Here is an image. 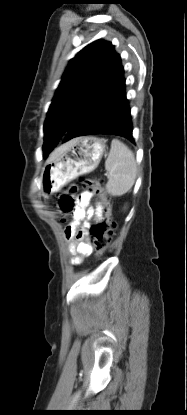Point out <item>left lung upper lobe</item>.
<instances>
[{
  "mask_svg": "<svg viewBox=\"0 0 187 415\" xmlns=\"http://www.w3.org/2000/svg\"><path fill=\"white\" fill-rule=\"evenodd\" d=\"M114 52L107 41L97 40L84 47L70 60L49 107L44 123L43 157L57 145V140L80 119L98 109L92 88Z\"/></svg>",
  "mask_w": 187,
  "mask_h": 415,
  "instance_id": "left-lung-upper-lobe-1",
  "label": "left lung upper lobe"
}]
</instances>
